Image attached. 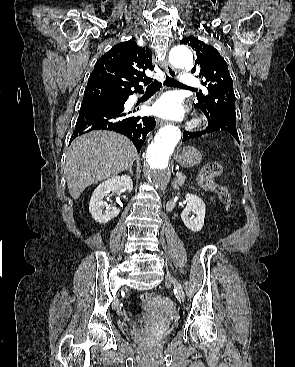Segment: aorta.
<instances>
[{
	"label": "aorta",
	"mask_w": 295,
	"mask_h": 367,
	"mask_svg": "<svg viewBox=\"0 0 295 367\" xmlns=\"http://www.w3.org/2000/svg\"><path fill=\"white\" fill-rule=\"evenodd\" d=\"M170 62L178 68L191 69L193 56L186 47L177 46L170 51ZM181 139L180 129L175 125H166L156 134L154 141L146 151L147 177L155 181L164 175L169 164V156Z\"/></svg>",
	"instance_id": "762f6f07"
}]
</instances>
